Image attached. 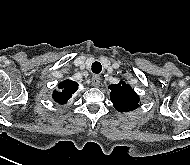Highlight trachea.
<instances>
[{
  "mask_svg": "<svg viewBox=\"0 0 190 165\" xmlns=\"http://www.w3.org/2000/svg\"><path fill=\"white\" fill-rule=\"evenodd\" d=\"M92 72L95 73V74H99L102 70V65L100 62L98 61H95L92 63Z\"/></svg>",
  "mask_w": 190,
  "mask_h": 165,
  "instance_id": "1",
  "label": "trachea"
}]
</instances>
